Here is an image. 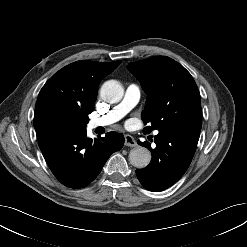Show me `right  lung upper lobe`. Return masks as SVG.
<instances>
[{"label": "right lung upper lobe", "mask_w": 247, "mask_h": 247, "mask_svg": "<svg viewBox=\"0 0 247 247\" xmlns=\"http://www.w3.org/2000/svg\"><path fill=\"white\" fill-rule=\"evenodd\" d=\"M120 63L83 60L71 63L55 73L38 95L33 120L36 134L43 132V120L51 112L64 111L79 116L90 114L94 110L100 81Z\"/></svg>", "instance_id": "obj_1"}]
</instances>
